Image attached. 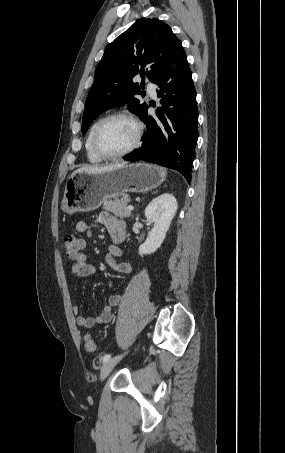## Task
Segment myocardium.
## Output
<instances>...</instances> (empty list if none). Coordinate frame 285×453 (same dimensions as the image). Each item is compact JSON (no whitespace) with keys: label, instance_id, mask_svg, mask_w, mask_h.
<instances>
[{"label":"myocardium","instance_id":"myocardium-1","mask_svg":"<svg viewBox=\"0 0 285 453\" xmlns=\"http://www.w3.org/2000/svg\"><path fill=\"white\" fill-rule=\"evenodd\" d=\"M115 118H125V119L131 121L136 128V136H135V140L132 143V145L129 146L127 149H125L121 152H118V153L109 154V153L104 152L100 148L99 134H100L103 126L108 121L115 119ZM143 134H144V125L134 114H132L128 111H125V110L116 111V112H113V113L105 116L104 118H102L96 125L94 132H93V136H92V147H93L94 152L102 159H105V160L118 159V158L124 157V156L132 153L134 150H136L141 145Z\"/></svg>","mask_w":285,"mask_h":453}]
</instances>
